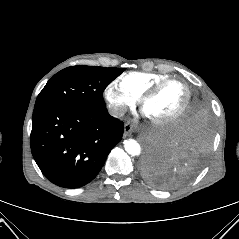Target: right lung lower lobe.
Listing matches in <instances>:
<instances>
[{
    "label": "right lung lower lobe",
    "mask_w": 239,
    "mask_h": 239,
    "mask_svg": "<svg viewBox=\"0 0 239 239\" xmlns=\"http://www.w3.org/2000/svg\"><path fill=\"white\" fill-rule=\"evenodd\" d=\"M123 130V122L110 116L106 107L36 108L31 152L49 181L64 188H78L97 176Z\"/></svg>",
    "instance_id": "98d812e1"
}]
</instances>
